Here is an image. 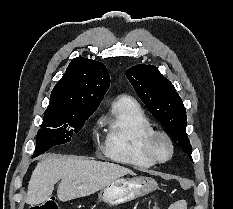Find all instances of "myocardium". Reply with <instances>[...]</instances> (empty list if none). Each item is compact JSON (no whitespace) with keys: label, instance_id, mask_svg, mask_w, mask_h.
Returning a JSON list of instances; mask_svg holds the SVG:
<instances>
[{"label":"myocardium","instance_id":"myocardium-1","mask_svg":"<svg viewBox=\"0 0 233 209\" xmlns=\"http://www.w3.org/2000/svg\"><path fill=\"white\" fill-rule=\"evenodd\" d=\"M160 142H165L168 146V155L166 157H162L158 151V145ZM146 148L149 155L159 163H164L169 161L174 153V144L171 137L164 131L153 130L149 135L146 141Z\"/></svg>","mask_w":233,"mask_h":209}]
</instances>
